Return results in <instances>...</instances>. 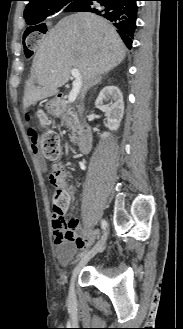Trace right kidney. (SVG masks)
Returning <instances> with one entry per match:
<instances>
[{"label":"right kidney","instance_id":"obj_1","mask_svg":"<svg viewBox=\"0 0 183 329\" xmlns=\"http://www.w3.org/2000/svg\"><path fill=\"white\" fill-rule=\"evenodd\" d=\"M109 100L111 102L106 104ZM95 106L105 113L108 128L111 131H116L124 115V102L121 90L113 85L104 87L95 101ZM108 136L109 133L101 135L103 138Z\"/></svg>","mask_w":183,"mask_h":329}]
</instances>
